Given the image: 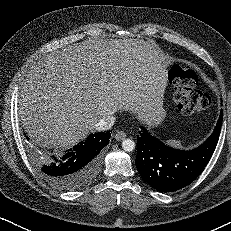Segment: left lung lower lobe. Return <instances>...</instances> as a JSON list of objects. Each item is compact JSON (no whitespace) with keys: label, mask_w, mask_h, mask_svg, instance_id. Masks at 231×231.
Instances as JSON below:
<instances>
[{"label":"left lung lower lobe","mask_w":231,"mask_h":231,"mask_svg":"<svg viewBox=\"0 0 231 231\" xmlns=\"http://www.w3.org/2000/svg\"><path fill=\"white\" fill-rule=\"evenodd\" d=\"M222 119L221 111L210 137L189 151L169 147L141 127L135 159L141 177L160 192H174L192 183L202 173L216 148Z\"/></svg>","instance_id":"obj_1"}]
</instances>
